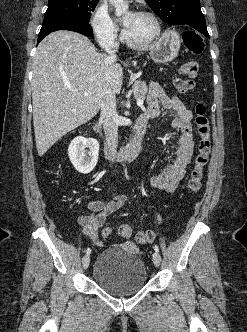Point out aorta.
Listing matches in <instances>:
<instances>
[{"instance_id":"762f6f07","label":"aorta","mask_w":247,"mask_h":332,"mask_svg":"<svg viewBox=\"0 0 247 332\" xmlns=\"http://www.w3.org/2000/svg\"><path fill=\"white\" fill-rule=\"evenodd\" d=\"M114 6L116 15L120 16L128 11V4L124 0H109Z\"/></svg>"}]
</instances>
